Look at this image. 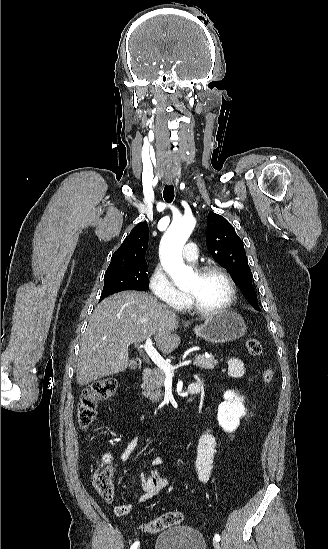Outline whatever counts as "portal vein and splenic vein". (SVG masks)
Returning a JSON list of instances; mask_svg holds the SVG:
<instances>
[{"label":"portal vein and splenic vein","mask_w":328,"mask_h":549,"mask_svg":"<svg viewBox=\"0 0 328 549\" xmlns=\"http://www.w3.org/2000/svg\"><path fill=\"white\" fill-rule=\"evenodd\" d=\"M141 347H143L144 351H146L147 355H149L153 363H155V365H157L159 369H162L164 373H173L174 369L184 367L185 364H193V361H191V359H188V361H184V363H180V365L172 367V365H170V363H167V361H164L163 357H161V355L157 353L156 349H154L152 339H146L145 345H141Z\"/></svg>","instance_id":"obj_1"}]
</instances>
